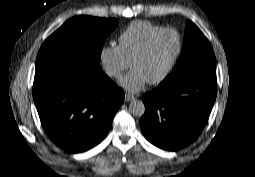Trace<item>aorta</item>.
<instances>
[{"instance_id":"obj_1","label":"aorta","mask_w":255,"mask_h":177,"mask_svg":"<svg viewBox=\"0 0 255 177\" xmlns=\"http://www.w3.org/2000/svg\"><path fill=\"white\" fill-rule=\"evenodd\" d=\"M129 112L135 117H141L145 112V105L141 100H132L129 104Z\"/></svg>"}]
</instances>
